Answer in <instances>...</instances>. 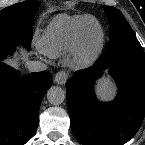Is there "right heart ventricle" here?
I'll list each match as a JSON object with an SVG mask.
<instances>
[{
  "label": "right heart ventricle",
  "mask_w": 145,
  "mask_h": 145,
  "mask_svg": "<svg viewBox=\"0 0 145 145\" xmlns=\"http://www.w3.org/2000/svg\"><path fill=\"white\" fill-rule=\"evenodd\" d=\"M96 23L91 15L59 14L43 29L37 38V47L49 57L64 56L76 48L83 32Z\"/></svg>",
  "instance_id": "obj_1"
}]
</instances>
